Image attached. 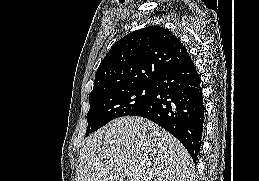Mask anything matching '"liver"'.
<instances>
[{
  "label": "liver",
  "mask_w": 259,
  "mask_h": 181,
  "mask_svg": "<svg viewBox=\"0 0 259 181\" xmlns=\"http://www.w3.org/2000/svg\"><path fill=\"white\" fill-rule=\"evenodd\" d=\"M193 174L192 159L174 136L145 118L126 116L87 139L77 181H193Z\"/></svg>",
  "instance_id": "obj_1"
}]
</instances>
